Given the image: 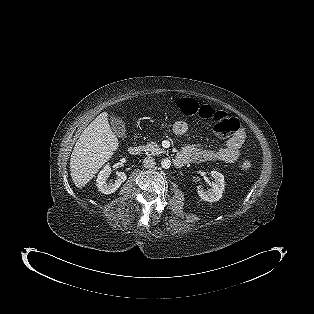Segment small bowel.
Wrapping results in <instances>:
<instances>
[{
  "label": "small bowel",
  "instance_id": "1",
  "mask_svg": "<svg viewBox=\"0 0 314 314\" xmlns=\"http://www.w3.org/2000/svg\"><path fill=\"white\" fill-rule=\"evenodd\" d=\"M187 131L188 125L184 121H177L172 125V132L176 136H184ZM245 139V133L239 130L227 139L225 146L222 148L211 149L187 145L179 155L184 156L186 162H220L230 164L237 161L240 157Z\"/></svg>",
  "mask_w": 314,
  "mask_h": 314
}]
</instances>
